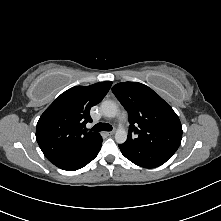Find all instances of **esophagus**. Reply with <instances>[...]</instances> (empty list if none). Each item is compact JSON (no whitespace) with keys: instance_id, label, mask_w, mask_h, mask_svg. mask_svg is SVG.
Returning <instances> with one entry per match:
<instances>
[{"instance_id":"esophagus-1","label":"esophagus","mask_w":221,"mask_h":221,"mask_svg":"<svg viewBox=\"0 0 221 221\" xmlns=\"http://www.w3.org/2000/svg\"><path fill=\"white\" fill-rule=\"evenodd\" d=\"M106 134H107L108 136H112V135H114V131L106 132Z\"/></svg>"}]
</instances>
